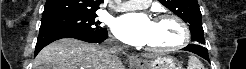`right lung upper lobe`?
<instances>
[{
	"label": "right lung upper lobe",
	"mask_w": 246,
	"mask_h": 69,
	"mask_svg": "<svg viewBox=\"0 0 246 69\" xmlns=\"http://www.w3.org/2000/svg\"><path fill=\"white\" fill-rule=\"evenodd\" d=\"M102 0H46L42 17L58 14H95Z\"/></svg>",
	"instance_id": "1"
}]
</instances>
